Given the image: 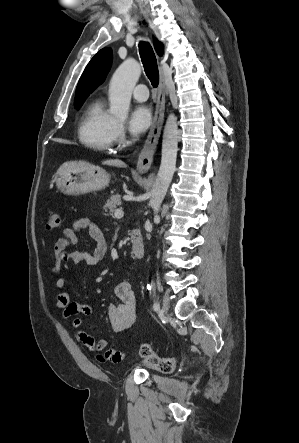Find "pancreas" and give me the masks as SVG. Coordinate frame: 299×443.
<instances>
[{"mask_svg":"<svg viewBox=\"0 0 299 443\" xmlns=\"http://www.w3.org/2000/svg\"><path fill=\"white\" fill-rule=\"evenodd\" d=\"M120 205H121V195L115 194L107 200L104 208L105 210H109V212L112 213Z\"/></svg>","mask_w":299,"mask_h":443,"instance_id":"pancreas-1","label":"pancreas"}]
</instances>
